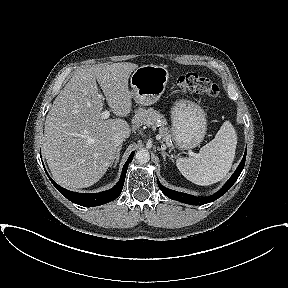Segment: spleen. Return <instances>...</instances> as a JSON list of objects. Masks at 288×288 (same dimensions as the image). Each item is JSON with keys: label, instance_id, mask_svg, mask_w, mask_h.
Wrapping results in <instances>:
<instances>
[{"label": "spleen", "instance_id": "obj_1", "mask_svg": "<svg viewBox=\"0 0 288 288\" xmlns=\"http://www.w3.org/2000/svg\"><path fill=\"white\" fill-rule=\"evenodd\" d=\"M237 145L233 125L225 121L215 138L203 146L193 157L176 160V166L189 181L207 186L219 182L231 169Z\"/></svg>", "mask_w": 288, "mask_h": 288}]
</instances>
